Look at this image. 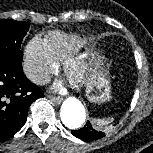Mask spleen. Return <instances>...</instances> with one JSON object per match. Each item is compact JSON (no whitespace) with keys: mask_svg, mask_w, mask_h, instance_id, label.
Segmentation results:
<instances>
[{"mask_svg":"<svg viewBox=\"0 0 153 153\" xmlns=\"http://www.w3.org/2000/svg\"><path fill=\"white\" fill-rule=\"evenodd\" d=\"M110 121H112V119H110V118H94L92 120L93 124H95L97 126L107 125Z\"/></svg>","mask_w":153,"mask_h":153,"instance_id":"obj_1","label":"spleen"}]
</instances>
